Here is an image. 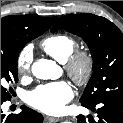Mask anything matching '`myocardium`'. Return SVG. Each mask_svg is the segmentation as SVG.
Listing matches in <instances>:
<instances>
[{
  "label": "myocardium",
  "instance_id": "f54148a6",
  "mask_svg": "<svg viewBox=\"0 0 123 123\" xmlns=\"http://www.w3.org/2000/svg\"><path fill=\"white\" fill-rule=\"evenodd\" d=\"M64 67L77 85L84 86L93 76L95 60L88 50H74L64 62Z\"/></svg>",
  "mask_w": 123,
  "mask_h": 123
}]
</instances>
